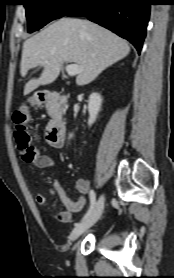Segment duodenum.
Segmentation results:
<instances>
[{
  "label": "duodenum",
  "instance_id": "duodenum-1",
  "mask_svg": "<svg viewBox=\"0 0 174 278\" xmlns=\"http://www.w3.org/2000/svg\"><path fill=\"white\" fill-rule=\"evenodd\" d=\"M59 98V93L56 91L44 90L37 94L39 103L54 102ZM46 137L48 142L55 146H62L65 138V124L59 117H54L47 126Z\"/></svg>",
  "mask_w": 174,
  "mask_h": 278
}]
</instances>
